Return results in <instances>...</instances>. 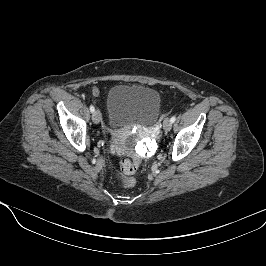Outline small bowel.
<instances>
[{
	"label": "small bowel",
	"instance_id": "c3829d8e",
	"mask_svg": "<svg viewBox=\"0 0 266 266\" xmlns=\"http://www.w3.org/2000/svg\"><path fill=\"white\" fill-rule=\"evenodd\" d=\"M93 95H94V96L98 95V90H97L96 88L93 89Z\"/></svg>",
	"mask_w": 266,
	"mask_h": 266
}]
</instances>
